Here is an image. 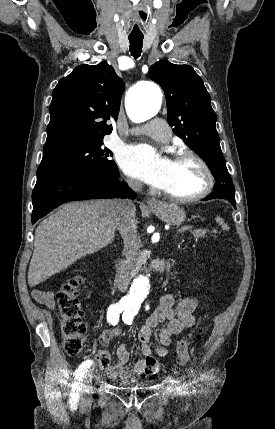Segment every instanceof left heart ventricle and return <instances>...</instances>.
Here are the masks:
<instances>
[{"mask_svg":"<svg viewBox=\"0 0 275 429\" xmlns=\"http://www.w3.org/2000/svg\"><path fill=\"white\" fill-rule=\"evenodd\" d=\"M203 185L204 174L195 161L173 160L163 190L177 196H189L199 192Z\"/></svg>","mask_w":275,"mask_h":429,"instance_id":"b2bd125f","label":"left heart ventricle"}]
</instances>
